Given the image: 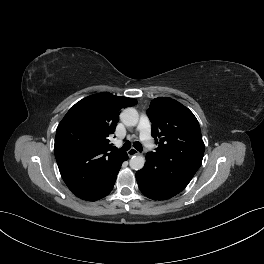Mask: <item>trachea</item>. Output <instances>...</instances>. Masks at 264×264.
Masks as SVG:
<instances>
[{"label": "trachea", "mask_w": 264, "mask_h": 264, "mask_svg": "<svg viewBox=\"0 0 264 264\" xmlns=\"http://www.w3.org/2000/svg\"><path fill=\"white\" fill-rule=\"evenodd\" d=\"M134 148L136 150H138L139 152H141L143 150L142 145L140 144V142H135L134 143ZM131 148V143L130 141H126L125 144L120 148L121 151H127Z\"/></svg>", "instance_id": "1"}]
</instances>
